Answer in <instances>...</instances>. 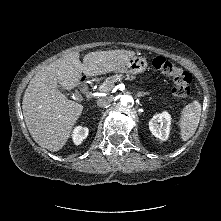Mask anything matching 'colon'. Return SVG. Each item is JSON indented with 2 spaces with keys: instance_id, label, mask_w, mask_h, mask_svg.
I'll use <instances>...</instances> for the list:
<instances>
[{
  "instance_id": "obj_1",
  "label": "colon",
  "mask_w": 221,
  "mask_h": 221,
  "mask_svg": "<svg viewBox=\"0 0 221 221\" xmlns=\"http://www.w3.org/2000/svg\"><path fill=\"white\" fill-rule=\"evenodd\" d=\"M153 67L173 82L172 92L177 98H185L190 94L191 74L177 67L164 57H155Z\"/></svg>"
}]
</instances>
